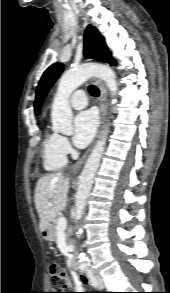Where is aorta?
<instances>
[{
  "mask_svg": "<svg viewBox=\"0 0 170 293\" xmlns=\"http://www.w3.org/2000/svg\"><path fill=\"white\" fill-rule=\"evenodd\" d=\"M98 77L102 79L113 96L116 95L118 85L115 72L107 65L103 64H85L75 69L65 72L57 88L51 110L52 129L54 132L71 135L72 126V110L69 106L70 94L83 84L89 77ZM107 139V129L103 131L101 139L94 146L89 155L84 168L79 176V184L75 201V222H78L83 215L86 200L90 194L93 180L103 156ZM79 263L81 267H88L89 260L85 254L79 255Z\"/></svg>",
  "mask_w": 170,
  "mask_h": 293,
  "instance_id": "762f6f07",
  "label": "aorta"
}]
</instances>
